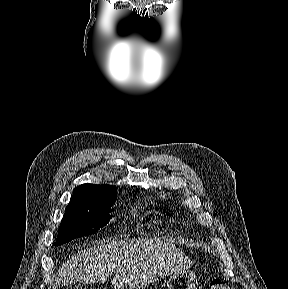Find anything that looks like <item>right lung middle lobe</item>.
Here are the masks:
<instances>
[{"mask_svg": "<svg viewBox=\"0 0 288 289\" xmlns=\"http://www.w3.org/2000/svg\"><path fill=\"white\" fill-rule=\"evenodd\" d=\"M117 192H106L96 197L72 196L60 224L54 245L65 244L75 238L96 233L112 218L109 214Z\"/></svg>", "mask_w": 288, "mask_h": 289, "instance_id": "right-lung-middle-lobe-1", "label": "right lung middle lobe"}]
</instances>
